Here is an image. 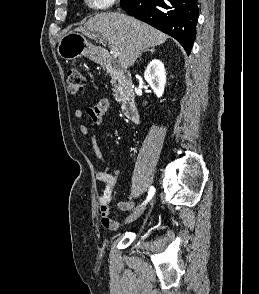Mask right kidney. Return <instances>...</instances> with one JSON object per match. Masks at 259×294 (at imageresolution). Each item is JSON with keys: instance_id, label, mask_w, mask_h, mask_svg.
<instances>
[{"instance_id": "obj_1", "label": "right kidney", "mask_w": 259, "mask_h": 294, "mask_svg": "<svg viewBox=\"0 0 259 294\" xmlns=\"http://www.w3.org/2000/svg\"><path fill=\"white\" fill-rule=\"evenodd\" d=\"M144 78L155 95L158 98L161 97L166 83V72L163 63L158 59L152 60L144 72Z\"/></svg>"}]
</instances>
